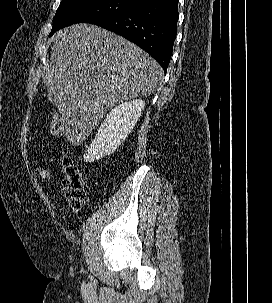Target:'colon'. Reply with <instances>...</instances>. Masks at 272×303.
<instances>
[{
  "label": "colon",
  "mask_w": 272,
  "mask_h": 303,
  "mask_svg": "<svg viewBox=\"0 0 272 303\" xmlns=\"http://www.w3.org/2000/svg\"><path fill=\"white\" fill-rule=\"evenodd\" d=\"M50 133L59 136L61 133V121L58 117H53L49 126ZM62 168L64 172L63 196L73 212H78L86 199V187L83 175L75 161L65 154L62 158ZM35 173L39 179L49 181L52 178V170L45 163L35 165Z\"/></svg>",
  "instance_id": "obj_1"
}]
</instances>
